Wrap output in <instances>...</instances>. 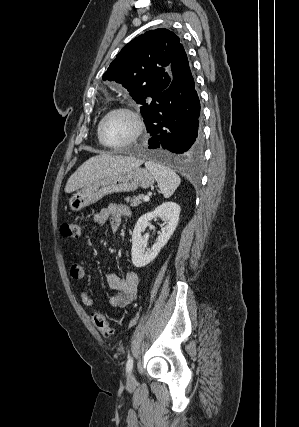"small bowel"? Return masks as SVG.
Instances as JSON below:
<instances>
[{
  "label": "small bowel",
  "mask_w": 299,
  "mask_h": 427,
  "mask_svg": "<svg viewBox=\"0 0 299 427\" xmlns=\"http://www.w3.org/2000/svg\"><path fill=\"white\" fill-rule=\"evenodd\" d=\"M130 215V209L126 205L110 203L106 208L96 213L93 220L99 225L110 222L112 230L116 231L120 227L122 219ZM69 273L74 280H82L86 274V261L81 259L73 263ZM107 281L117 291L115 295L107 298V304L110 307L123 308L136 299L140 282V276L136 271L127 272L124 278H120L116 274H109ZM80 298L85 306L91 307L93 305V298L88 291H83Z\"/></svg>",
  "instance_id": "obj_1"
}]
</instances>
